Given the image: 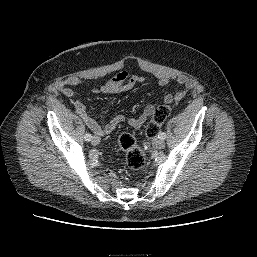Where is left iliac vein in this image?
<instances>
[{
    "mask_svg": "<svg viewBox=\"0 0 257 257\" xmlns=\"http://www.w3.org/2000/svg\"><path fill=\"white\" fill-rule=\"evenodd\" d=\"M153 145L156 149H162L165 146V142L163 139L158 138L154 141Z\"/></svg>",
    "mask_w": 257,
    "mask_h": 257,
    "instance_id": "1",
    "label": "left iliac vein"
}]
</instances>
